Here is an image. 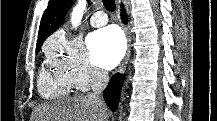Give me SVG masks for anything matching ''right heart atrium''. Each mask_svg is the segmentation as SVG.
I'll return each instance as SVG.
<instances>
[{
  "mask_svg": "<svg viewBox=\"0 0 217 121\" xmlns=\"http://www.w3.org/2000/svg\"><path fill=\"white\" fill-rule=\"evenodd\" d=\"M45 53L54 70L79 91L99 86L106 79V74L90 62L79 39L56 34L47 42Z\"/></svg>",
  "mask_w": 217,
  "mask_h": 121,
  "instance_id": "obj_1",
  "label": "right heart atrium"
}]
</instances>
